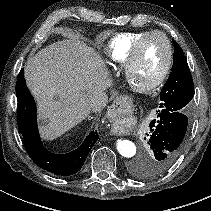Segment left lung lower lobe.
Listing matches in <instances>:
<instances>
[{"instance_id": "0a47b994", "label": "left lung lower lobe", "mask_w": 211, "mask_h": 211, "mask_svg": "<svg viewBox=\"0 0 211 211\" xmlns=\"http://www.w3.org/2000/svg\"><path fill=\"white\" fill-rule=\"evenodd\" d=\"M150 132L144 139L152 157L151 174L155 175L168 168L179 156L188 127V114L183 112L158 113L150 122Z\"/></svg>"}]
</instances>
